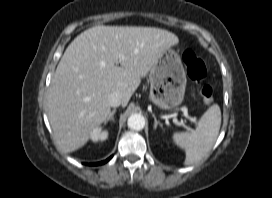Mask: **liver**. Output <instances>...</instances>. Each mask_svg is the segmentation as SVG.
<instances>
[{"instance_id":"6515ba94","label":"liver","mask_w":272,"mask_h":198,"mask_svg":"<svg viewBox=\"0 0 272 198\" xmlns=\"http://www.w3.org/2000/svg\"><path fill=\"white\" fill-rule=\"evenodd\" d=\"M178 42L175 34L155 27L98 25L78 35L65 50L47 95L57 145L65 152L84 146L106 123L111 93H119L125 107L160 54Z\"/></svg>"}]
</instances>
